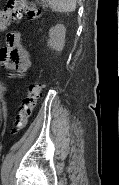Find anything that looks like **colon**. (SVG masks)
I'll use <instances>...</instances> for the list:
<instances>
[{"mask_svg": "<svg viewBox=\"0 0 119 185\" xmlns=\"http://www.w3.org/2000/svg\"><path fill=\"white\" fill-rule=\"evenodd\" d=\"M41 11L27 4L26 0H8L5 8L0 15V28L5 29L13 21L19 20L25 15L28 19H36L40 16ZM42 85L32 83L28 87L20 112L16 117L12 133L18 134L28 123L37 102L40 98Z\"/></svg>", "mask_w": 119, "mask_h": 185, "instance_id": "1", "label": "colon"}]
</instances>
